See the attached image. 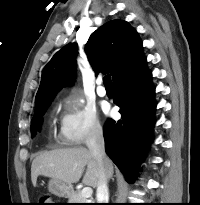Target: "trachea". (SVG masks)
I'll return each instance as SVG.
<instances>
[{
  "label": "trachea",
  "instance_id": "obj_1",
  "mask_svg": "<svg viewBox=\"0 0 200 205\" xmlns=\"http://www.w3.org/2000/svg\"><path fill=\"white\" fill-rule=\"evenodd\" d=\"M103 83L105 85L106 88H112V81H111V76L110 75H106L103 78Z\"/></svg>",
  "mask_w": 200,
  "mask_h": 205
}]
</instances>
